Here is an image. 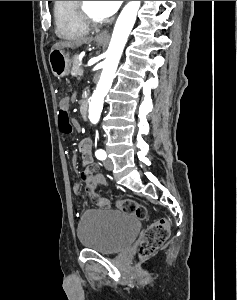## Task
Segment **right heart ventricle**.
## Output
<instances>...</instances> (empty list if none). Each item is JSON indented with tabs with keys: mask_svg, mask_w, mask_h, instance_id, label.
Wrapping results in <instances>:
<instances>
[{
	"mask_svg": "<svg viewBox=\"0 0 237 300\" xmlns=\"http://www.w3.org/2000/svg\"><path fill=\"white\" fill-rule=\"evenodd\" d=\"M77 1H54L53 13L57 34L62 38L83 36L89 27L78 17Z\"/></svg>",
	"mask_w": 237,
	"mask_h": 300,
	"instance_id": "e07e8e85",
	"label": "right heart ventricle"
}]
</instances>
